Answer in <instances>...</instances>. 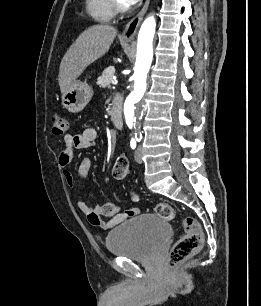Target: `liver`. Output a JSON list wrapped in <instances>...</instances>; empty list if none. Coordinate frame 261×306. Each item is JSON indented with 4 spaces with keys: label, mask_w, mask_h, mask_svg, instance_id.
<instances>
[{
    "label": "liver",
    "mask_w": 261,
    "mask_h": 306,
    "mask_svg": "<svg viewBox=\"0 0 261 306\" xmlns=\"http://www.w3.org/2000/svg\"><path fill=\"white\" fill-rule=\"evenodd\" d=\"M117 35L115 27L98 24L86 29L61 60L59 86L63 94L93 62L108 52Z\"/></svg>",
    "instance_id": "1"
}]
</instances>
